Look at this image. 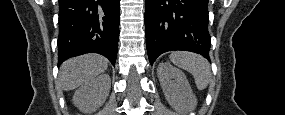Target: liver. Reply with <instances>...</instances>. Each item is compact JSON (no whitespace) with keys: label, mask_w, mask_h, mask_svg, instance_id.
I'll return each instance as SVG.
<instances>
[{"label":"liver","mask_w":285,"mask_h":115,"mask_svg":"<svg viewBox=\"0 0 285 115\" xmlns=\"http://www.w3.org/2000/svg\"><path fill=\"white\" fill-rule=\"evenodd\" d=\"M108 67V60L98 54H87L64 62L60 67L59 80L63 90H73L93 80Z\"/></svg>","instance_id":"obj_1"}]
</instances>
